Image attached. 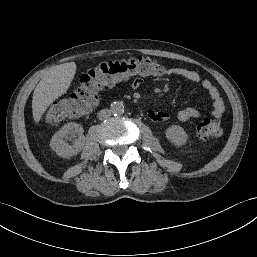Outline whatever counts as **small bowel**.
<instances>
[{
	"instance_id": "c3829d8e",
	"label": "small bowel",
	"mask_w": 257,
	"mask_h": 257,
	"mask_svg": "<svg viewBox=\"0 0 257 257\" xmlns=\"http://www.w3.org/2000/svg\"><path fill=\"white\" fill-rule=\"evenodd\" d=\"M165 75L167 76H176L187 80L191 83L200 84L202 88L208 93L211 101H212V114L213 116L219 118L224 113V101L216 88V86L207 79H202L200 74L194 70H190L182 67H172L168 68L165 71ZM141 82L139 80H135L132 82V86L134 88L139 87ZM200 116V112L192 107H187L180 110L177 114V118L180 121H189ZM147 117L155 122H165L169 119V114L164 111H156L149 110L147 112Z\"/></svg>"
}]
</instances>
